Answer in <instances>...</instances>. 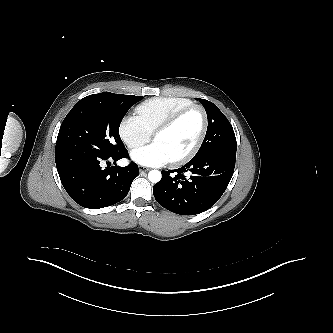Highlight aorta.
<instances>
[{"label": "aorta", "instance_id": "762f6f07", "mask_svg": "<svg viewBox=\"0 0 333 333\" xmlns=\"http://www.w3.org/2000/svg\"><path fill=\"white\" fill-rule=\"evenodd\" d=\"M161 172L158 171V170H151L149 173H148V179L150 182L152 183H157L161 180Z\"/></svg>", "mask_w": 333, "mask_h": 333}]
</instances>
